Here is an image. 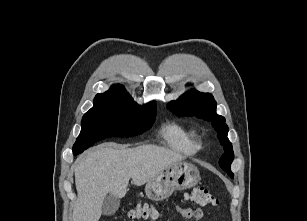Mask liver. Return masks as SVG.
Segmentation results:
<instances>
[{
  "instance_id": "liver-1",
  "label": "liver",
  "mask_w": 307,
  "mask_h": 221,
  "mask_svg": "<svg viewBox=\"0 0 307 221\" xmlns=\"http://www.w3.org/2000/svg\"><path fill=\"white\" fill-rule=\"evenodd\" d=\"M184 159L178 152L155 145L134 148L99 145L86 151L74 164L78 197L73 221H98L107 194L123 198L130 178L141 186Z\"/></svg>"
}]
</instances>
